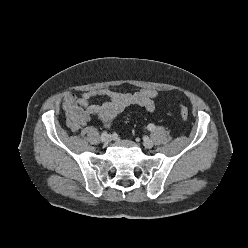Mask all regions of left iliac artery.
I'll list each match as a JSON object with an SVG mask.
<instances>
[{"label":"left iliac artery","instance_id":"left-iliac-artery-1","mask_svg":"<svg viewBox=\"0 0 248 248\" xmlns=\"http://www.w3.org/2000/svg\"><path fill=\"white\" fill-rule=\"evenodd\" d=\"M147 128H148L149 131H154L155 130V125L154 124H149Z\"/></svg>","mask_w":248,"mask_h":248}]
</instances>
